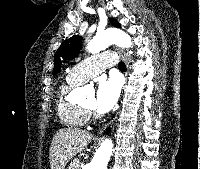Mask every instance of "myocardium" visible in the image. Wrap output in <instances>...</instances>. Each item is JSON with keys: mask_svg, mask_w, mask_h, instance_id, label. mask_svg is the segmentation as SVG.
Segmentation results:
<instances>
[{"mask_svg": "<svg viewBox=\"0 0 200 169\" xmlns=\"http://www.w3.org/2000/svg\"><path fill=\"white\" fill-rule=\"evenodd\" d=\"M86 110L89 113V115H92L95 118L99 117L98 112L96 111L95 107L92 106H86Z\"/></svg>", "mask_w": 200, "mask_h": 169, "instance_id": "f54148a6", "label": "myocardium"}]
</instances>
